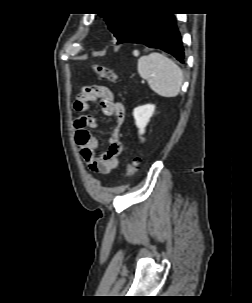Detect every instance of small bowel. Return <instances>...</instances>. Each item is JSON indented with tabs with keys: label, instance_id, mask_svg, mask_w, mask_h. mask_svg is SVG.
<instances>
[{
	"label": "small bowel",
	"instance_id": "1",
	"mask_svg": "<svg viewBox=\"0 0 252 303\" xmlns=\"http://www.w3.org/2000/svg\"><path fill=\"white\" fill-rule=\"evenodd\" d=\"M97 101L104 114L114 116L116 119V126L108 140V149L99 156L96 154L98 141L90 129L95 128L98 122L92 116H85L75 122V141L89 170L98 174H109L119 165V155L123 150L119 128L124 121L125 110L123 104L115 100L109 88L99 85L84 86L77 97L75 108L84 114Z\"/></svg>",
	"mask_w": 252,
	"mask_h": 303
}]
</instances>
